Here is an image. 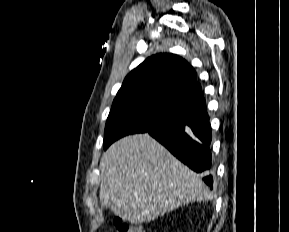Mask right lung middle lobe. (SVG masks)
Segmentation results:
<instances>
[{
  "label": "right lung middle lobe",
  "mask_w": 289,
  "mask_h": 232,
  "mask_svg": "<svg viewBox=\"0 0 289 232\" xmlns=\"http://www.w3.org/2000/svg\"><path fill=\"white\" fill-rule=\"evenodd\" d=\"M181 114V110L146 99L115 98L106 122L104 149L125 135L148 132Z\"/></svg>",
  "instance_id": "dd1d6c3e"
}]
</instances>
